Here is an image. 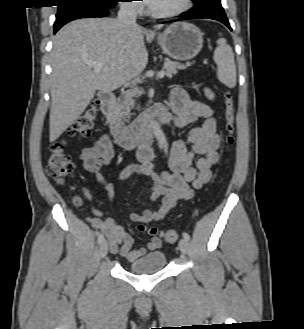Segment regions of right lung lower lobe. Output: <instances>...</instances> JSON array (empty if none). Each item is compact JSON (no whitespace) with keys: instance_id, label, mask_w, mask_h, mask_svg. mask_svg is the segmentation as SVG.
I'll list each match as a JSON object with an SVG mask.
<instances>
[{"instance_id":"98d812e1","label":"right lung lower lobe","mask_w":304,"mask_h":329,"mask_svg":"<svg viewBox=\"0 0 304 329\" xmlns=\"http://www.w3.org/2000/svg\"><path fill=\"white\" fill-rule=\"evenodd\" d=\"M109 8L80 6L57 13L56 21L54 23V33H56L63 25L75 19L88 17H104L109 14Z\"/></svg>"}]
</instances>
